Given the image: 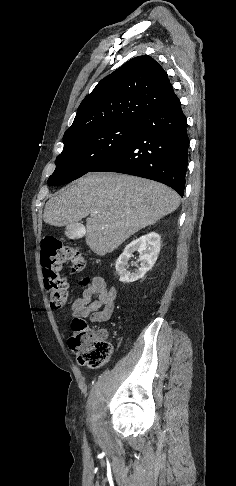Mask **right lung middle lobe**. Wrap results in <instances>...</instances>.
<instances>
[{
  "label": "right lung middle lobe",
  "mask_w": 236,
  "mask_h": 486,
  "mask_svg": "<svg viewBox=\"0 0 236 486\" xmlns=\"http://www.w3.org/2000/svg\"><path fill=\"white\" fill-rule=\"evenodd\" d=\"M136 123L118 124L86 131L63 141L64 149L56 159V169L48 185H63L91 172L130 142Z\"/></svg>",
  "instance_id": "right-lung-middle-lobe-1"
}]
</instances>
